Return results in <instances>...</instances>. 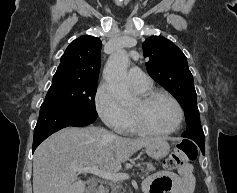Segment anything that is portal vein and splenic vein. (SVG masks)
Returning <instances> with one entry per match:
<instances>
[{
	"label": "portal vein and splenic vein",
	"mask_w": 237,
	"mask_h": 193,
	"mask_svg": "<svg viewBox=\"0 0 237 193\" xmlns=\"http://www.w3.org/2000/svg\"><path fill=\"white\" fill-rule=\"evenodd\" d=\"M79 173H92L98 177L111 180V181H122L130 178L128 173H113L99 170L97 166L74 168Z\"/></svg>",
	"instance_id": "obj_1"
}]
</instances>
